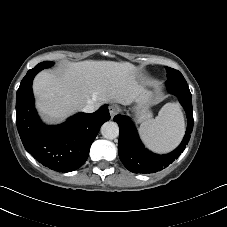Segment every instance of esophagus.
Returning a JSON list of instances; mask_svg holds the SVG:
<instances>
[{"label": "esophagus", "instance_id": "1", "mask_svg": "<svg viewBox=\"0 0 227 227\" xmlns=\"http://www.w3.org/2000/svg\"><path fill=\"white\" fill-rule=\"evenodd\" d=\"M109 113H110L111 119H113V117L119 113V108L115 105H112L109 107Z\"/></svg>", "mask_w": 227, "mask_h": 227}]
</instances>
